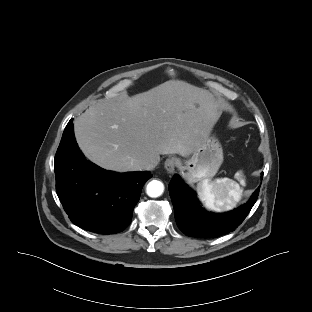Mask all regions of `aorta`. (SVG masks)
Here are the masks:
<instances>
[{
	"mask_svg": "<svg viewBox=\"0 0 312 312\" xmlns=\"http://www.w3.org/2000/svg\"><path fill=\"white\" fill-rule=\"evenodd\" d=\"M164 184L158 180H152L147 184L146 193L149 197L156 198L162 195Z\"/></svg>",
	"mask_w": 312,
	"mask_h": 312,
	"instance_id": "1",
	"label": "aorta"
}]
</instances>
